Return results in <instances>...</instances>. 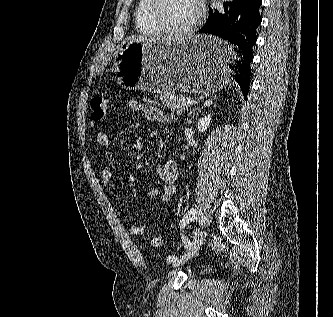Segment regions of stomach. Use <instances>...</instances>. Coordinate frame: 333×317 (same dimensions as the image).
<instances>
[{
  "label": "stomach",
  "mask_w": 333,
  "mask_h": 317,
  "mask_svg": "<svg viewBox=\"0 0 333 317\" xmlns=\"http://www.w3.org/2000/svg\"><path fill=\"white\" fill-rule=\"evenodd\" d=\"M220 38V33H209L183 41L125 42L113 71L129 90L209 93L232 88L224 62H236L234 45Z\"/></svg>",
  "instance_id": "1"
}]
</instances>
